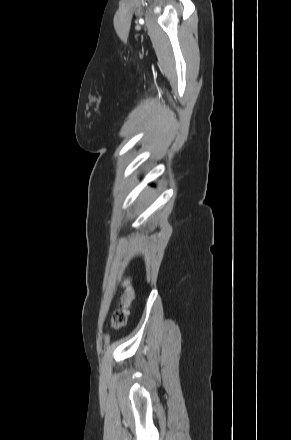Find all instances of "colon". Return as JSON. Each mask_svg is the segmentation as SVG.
<instances>
[{
  "label": "colon",
  "mask_w": 291,
  "mask_h": 440,
  "mask_svg": "<svg viewBox=\"0 0 291 440\" xmlns=\"http://www.w3.org/2000/svg\"><path fill=\"white\" fill-rule=\"evenodd\" d=\"M135 295L131 288H127L121 299L120 308L114 312L111 320L112 327L115 329L123 328L127 323V317L130 314V304L134 300Z\"/></svg>",
  "instance_id": "obj_1"
}]
</instances>
